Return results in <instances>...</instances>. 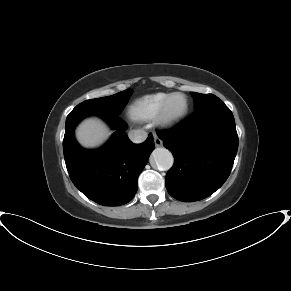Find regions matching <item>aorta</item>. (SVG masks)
I'll list each match as a JSON object with an SVG mask.
<instances>
[{
	"label": "aorta",
	"mask_w": 291,
	"mask_h": 291,
	"mask_svg": "<svg viewBox=\"0 0 291 291\" xmlns=\"http://www.w3.org/2000/svg\"><path fill=\"white\" fill-rule=\"evenodd\" d=\"M152 158L154 164L160 171L169 170L174 163L172 153L164 147L155 148L154 151L152 152Z\"/></svg>",
	"instance_id": "aorta-1"
}]
</instances>
